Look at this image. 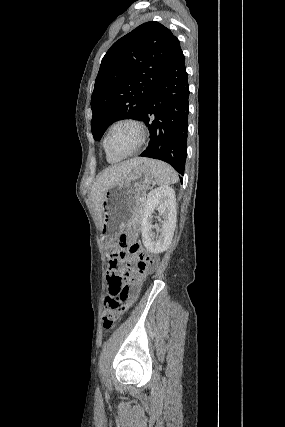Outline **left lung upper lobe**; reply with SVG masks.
Segmentation results:
<instances>
[{"instance_id":"obj_1","label":"left lung upper lobe","mask_w":285,"mask_h":427,"mask_svg":"<svg viewBox=\"0 0 285 427\" xmlns=\"http://www.w3.org/2000/svg\"><path fill=\"white\" fill-rule=\"evenodd\" d=\"M182 52L162 24L146 22L116 41L103 57L91 97V131L100 140L113 122L140 119L155 88Z\"/></svg>"}]
</instances>
